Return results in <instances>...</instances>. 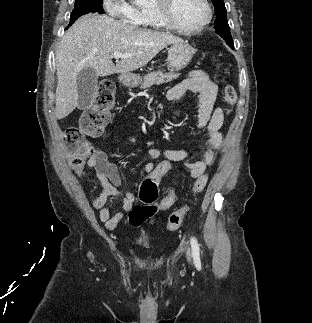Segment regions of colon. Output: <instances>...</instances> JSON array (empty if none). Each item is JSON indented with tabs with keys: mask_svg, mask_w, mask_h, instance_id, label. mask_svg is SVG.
Returning a JSON list of instances; mask_svg holds the SVG:
<instances>
[{
	"mask_svg": "<svg viewBox=\"0 0 312 323\" xmlns=\"http://www.w3.org/2000/svg\"><path fill=\"white\" fill-rule=\"evenodd\" d=\"M223 93L225 102L229 106H233L237 99L235 88L231 84H225ZM114 106L115 84L110 78H102L97 85L93 102L91 106L83 110L79 118L78 126L69 127L65 131V142L72 151L71 161L66 162L67 168H74L75 172L82 171L83 162L93 154V149L88 143L87 138H99L103 135L105 127L110 122V116ZM171 164L170 160H162L158 168H154L151 177H140L139 182L141 185L138 193L146 203V206L138 211L141 218L148 219L156 214L158 210L157 184H159L162 175H165L166 171H171ZM204 184L205 178L197 180L193 186L195 191H192V194H196V191H203ZM169 193H172V190H169ZM171 197L172 194H168V197H161L162 213H169L170 209H173L174 204ZM188 198H191V195H188ZM188 202H190V199H187V202L181 207V210H172V216L166 224V230L168 232L173 233L180 228L183 217L188 215V207L186 206Z\"/></svg>",
	"mask_w": 312,
	"mask_h": 323,
	"instance_id": "1",
	"label": "colon"
}]
</instances>
